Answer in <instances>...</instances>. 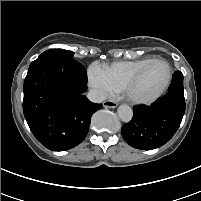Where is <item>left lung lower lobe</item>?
Wrapping results in <instances>:
<instances>
[{
	"mask_svg": "<svg viewBox=\"0 0 201 201\" xmlns=\"http://www.w3.org/2000/svg\"><path fill=\"white\" fill-rule=\"evenodd\" d=\"M171 83L169 92L151 106L134 107L132 120L122 126V136L130 146L155 149L176 133L185 112L182 72L176 71Z\"/></svg>",
	"mask_w": 201,
	"mask_h": 201,
	"instance_id": "obj_1",
	"label": "left lung lower lobe"
}]
</instances>
